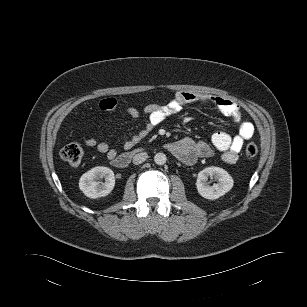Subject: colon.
Instances as JSON below:
<instances>
[{
    "mask_svg": "<svg viewBox=\"0 0 307 307\" xmlns=\"http://www.w3.org/2000/svg\"><path fill=\"white\" fill-rule=\"evenodd\" d=\"M257 154V145L254 142L248 143L245 147V156L251 159L254 158ZM60 156L67 163L76 165L79 164L82 159L83 150L79 144L69 143L61 149Z\"/></svg>",
    "mask_w": 307,
    "mask_h": 307,
    "instance_id": "5ec220e1",
    "label": "colon"
}]
</instances>
